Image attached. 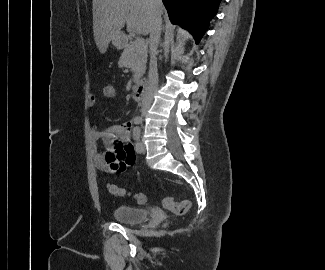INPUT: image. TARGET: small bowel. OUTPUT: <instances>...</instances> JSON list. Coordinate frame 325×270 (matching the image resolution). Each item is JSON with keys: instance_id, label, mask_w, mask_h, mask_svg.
<instances>
[{"instance_id": "small-bowel-1", "label": "small bowel", "mask_w": 325, "mask_h": 270, "mask_svg": "<svg viewBox=\"0 0 325 270\" xmlns=\"http://www.w3.org/2000/svg\"><path fill=\"white\" fill-rule=\"evenodd\" d=\"M97 102L98 99L94 95L87 99V103L91 107L95 106ZM131 130L132 123L130 121L112 125L104 130H100L95 122L91 124L93 161L98 170L105 173H119L134 164L135 154L130 144ZM98 141H102L104 144V153L98 151Z\"/></svg>"}]
</instances>
